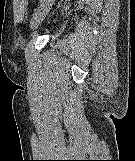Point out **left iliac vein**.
I'll return each mask as SVG.
<instances>
[{"label":"left iliac vein","instance_id":"4c4485c4","mask_svg":"<svg viewBox=\"0 0 135 161\" xmlns=\"http://www.w3.org/2000/svg\"><path fill=\"white\" fill-rule=\"evenodd\" d=\"M54 0H43L38 8L35 10V13L30 21V26L32 29H36L43 19L48 14Z\"/></svg>","mask_w":135,"mask_h":161}]
</instances>
